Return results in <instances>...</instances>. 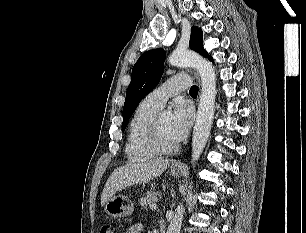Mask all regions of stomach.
<instances>
[{
    "mask_svg": "<svg viewBox=\"0 0 306 233\" xmlns=\"http://www.w3.org/2000/svg\"><path fill=\"white\" fill-rule=\"evenodd\" d=\"M172 176H180L181 170L170 169ZM105 212L114 218L130 216L134 211V203L124 195H113L104 205Z\"/></svg>",
    "mask_w": 306,
    "mask_h": 233,
    "instance_id": "1",
    "label": "stomach"
}]
</instances>
